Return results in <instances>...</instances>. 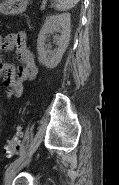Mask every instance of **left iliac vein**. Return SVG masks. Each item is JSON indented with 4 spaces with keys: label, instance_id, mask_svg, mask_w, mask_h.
<instances>
[{
    "label": "left iliac vein",
    "instance_id": "1",
    "mask_svg": "<svg viewBox=\"0 0 119 185\" xmlns=\"http://www.w3.org/2000/svg\"><path fill=\"white\" fill-rule=\"evenodd\" d=\"M23 164H18L15 168H13L5 177V185H11L14 176L18 173V171L22 168Z\"/></svg>",
    "mask_w": 119,
    "mask_h": 185
}]
</instances>
